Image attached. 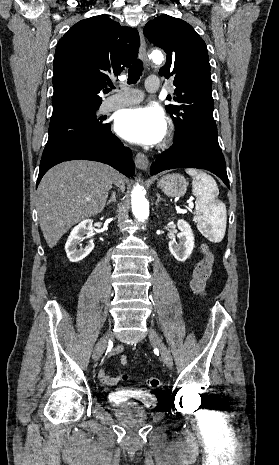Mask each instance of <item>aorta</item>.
<instances>
[{
    "instance_id": "aorta-1",
    "label": "aorta",
    "mask_w": 279,
    "mask_h": 465,
    "mask_svg": "<svg viewBox=\"0 0 279 465\" xmlns=\"http://www.w3.org/2000/svg\"><path fill=\"white\" fill-rule=\"evenodd\" d=\"M151 58L155 62L162 61L163 56L161 52L154 51L151 54ZM131 205H132V212L135 218L139 221H144L149 216V203L144 196V192L139 185H136L132 190L131 194Z\"/></svg>"
}]
</instances>
